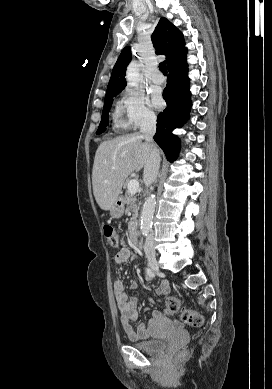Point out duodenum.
Wrapping results in <instances>:
<instances>
[{
	"instance_id": "obj_1",
	"label": "duodenum",
	"mask_w": 272,
	"mask_h": 389,
	"mask_svg": "<svg viewBox=\"0 0 272 389\" xmlns=\"http://www.w3.org/2000/svg\"><path fill=\"white\" fill-rule=\"evenodd\" d=\"M129 238H130V242L135 247H139L141 245L139 232L136 226L132 227V229L130 230Z\"/></svg>"
}]
</instances>
